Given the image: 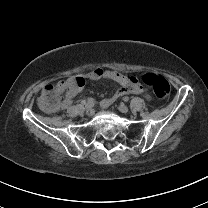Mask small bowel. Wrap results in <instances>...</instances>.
<instances>
[{
	"label": "small bowel",
	"mask_w": 208,
	"mask_h": 208,
	"mask_svg": "<svg viewBox=\"0 0 208 208\" xmlns=\"http://www.w3.org/2000/svg\"><path fill=\"white\" fill-rule=\"evenodd\" d=\"M100 77L111 79L121 85V88H119L113 94L105 97L101 101L102 108H109L116 100L130 93L146 94L144 88L137 82L134 77L117 71L105 70L98 67L89 73L74 75L67 78L71 82L73 89L71 95L64 100L62 108L64 110L69 108V106L72 104L73 98L84 88L87 81Z\"/></svg>",
	"instance_id": "obj_1"
}]
</instances>
